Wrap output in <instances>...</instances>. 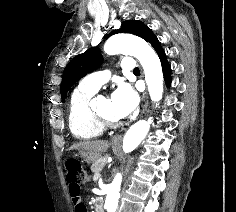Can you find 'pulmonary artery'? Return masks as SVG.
I'll return each mask as SVG.
<instances>
[{"mask_svg": "<svg viewBox=\"0 0 236 212\" xmlns=\"http://www.w3.org/2000/svg\"><path fill=\"white\" fill-rule=\"evenodd\" d=\"M122 68L126 71H133L136 68V63L132 58H123ZM110 72L108 70L98 71L86 76L81 83L84 86L99 89L109 80Z\"/></svg>", "mask_w": 236, "mask_h": 212, "instance_id": "1", "label": "pulmonary artery"}]
</instances>
